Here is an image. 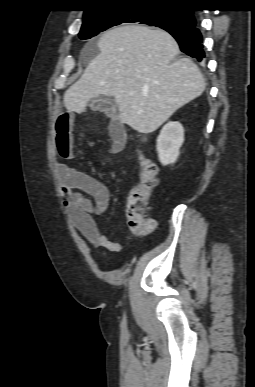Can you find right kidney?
Returning <instances> with one entry per match:
<instances>
[{"instance_id": "right-kidney-1", "label": "right kidney", "mask_w": 255, "mask_h": 387, "mask_svg": "<svg viewBox=\"0 0 255 387\" xmlns=\"http://www.w3.org/2000/svg\"><path fill=\"white\" fill-rule=\"evenodd\" d=\"M184 142V129L179 122H168L157 138L156 149L163 166L173 164L179 157V149Z\"/></svg>"}]
</instances>
